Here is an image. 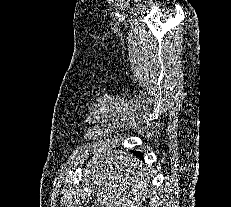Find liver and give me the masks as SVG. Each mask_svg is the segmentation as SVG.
I'll return each instance as SVG.
<instances>
[{"label":"liver","instance_id":"6515ba94","mask_svg":"<svg viewBox=\"0 0 231 207\" xmlns=\"http://www.w3.org/2000/svg\"><path fill=\"white\" fill-rule=\"evenodd\" d=\"M86 173L97 186L94 204L98 207H138L150 192L147 169L123 152L97 150Z\"/></svg>","mask_w":231,"mask_h":207}]
</instances>
